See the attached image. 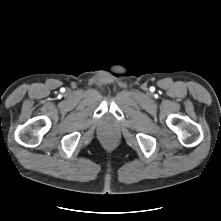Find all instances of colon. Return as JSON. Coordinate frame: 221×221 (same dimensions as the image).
<instances>
[{"label": "colon", "mask_w": 221, "mask_h": 221, "mask_svg": "<svg viewBox=\"0 0 221 221\" xmlns=\"http://www.w3.org/2000/svg\"><path fill=\"white\" fill-rule=\"evenodd\" d=\"M111 144H112V142L109 141V142H108V145H111Z\"/></svg>", "instance_id": "5ec220e1"}]
</instances>
